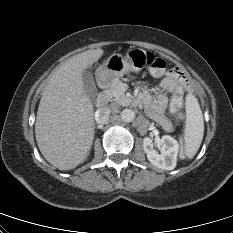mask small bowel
<instances>
[{"instance_id":"1","label":"small bowel","mask_w":233,"mask_h":233,"mask_svg":"<svg viewBox=\"0 0 233 233\" xmlns=\"http://www.w3.org/2000/svg\"><path fill=\"white\" fill-rule=\"evenodd\" d=\"M180 88L189 89L187 76L181 69L172 68L158 84L154 95H151L145 89L140 92V99L145 104L149 116L166 129L172 128V123L164 116L168 102L166 93H173Z\"/></svg>"}]
</instances>
